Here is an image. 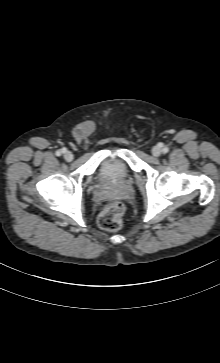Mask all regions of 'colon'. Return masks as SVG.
<instances>
[{
  "instance_id": "5ec220e1",
  "label": "colon",
  "mask_w": 220,
  "mask_h": 363,
  "mask_svg": "<svg viewBox=\"0 0 220 363\" xmlns=\"http://www.w3.org/2000/svg\"><path fill=\"white\" fill-rule=\"evenodd\" d=\"M125 206L116 201L107 204L98 216V225L106 231H117L123 224Z\"/></svg>"
}]
</instances>
